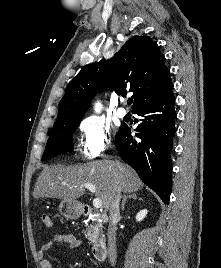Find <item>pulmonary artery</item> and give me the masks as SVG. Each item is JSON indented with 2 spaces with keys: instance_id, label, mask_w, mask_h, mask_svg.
Instances as JSON below:
<instances>
[{
  "instance_id": "pulmonary-artery-1",
  "label": "pulmonary artery",
  "mask_w": 221,
  "mask_h": 268,
  "mask_svg": "<svg viewBox=\"0 0 221 268\" xmlns=\"http://www.w3.org/2000/svg\"><path fill=\"white\" fill-rule=\"evenodd\" d=\"M117 115L120 118H124L127 115V111L123 107H120L117 109Z\"/></svg>"
}]
</instances>
